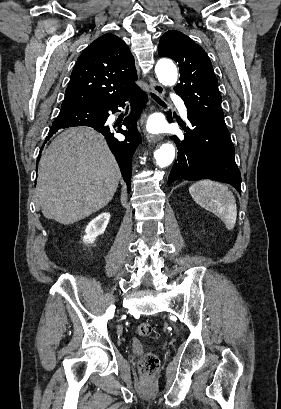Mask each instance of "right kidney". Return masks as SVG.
<instances>
[{
	"label": "right kidney",
	"instance_id": "obj_1",
	"mask_svg": "<svg viewBox=\"0 0 281 409\" xmlns=\"http://www.w3.org/2000/svg\"><path fill=\"white\" fill-rule=\"evenodd\" d=\"M110 219V213H101L96 219L90 221L85 229L84 243H93L98 235H103Z\"/></svg>",
	"mask_w": 281,
	"mask_h": 409
}]
</instances>
